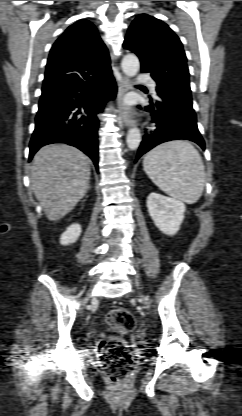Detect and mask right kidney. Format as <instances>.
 I'll return each instance as SVG.
<instances>
[{
  "label": "right kidney",
  "instance_id": "ca27d5eb",
  "mask_svg": "<svg viewBox=\"0 0 242 416\" xmlns=\"http://www.w3.org/2000/svg\"><path fill=\"white\" fill-rule=\"evenodd\" d=\"M81 234V226L79 224L70 225L60 237L62 245H69L75 243Z\"/></svg>",
  "mask_w": 242,
  "mask_h": 416
}]
</instances>
